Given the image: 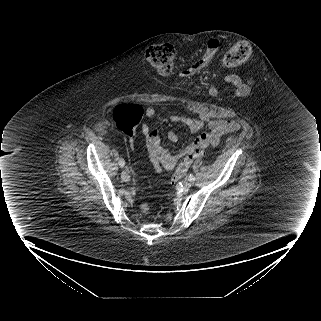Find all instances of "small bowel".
<instances>
[{
  "mask_svg": "<svg viewBox=\"0 0 321 321\" xmlns=\"http://www.w3.org/2000/svg\"><path fill=\"white\" fill-rule=\"evenodd\" d=\"M220 49V41L218 39H210L207 44L203 55L191 63L188 68L182 71V77H189L196 74L197 72L206 68L211 61L214 59L216 54ZM254 78L252 75L247 74L243 79L231 74L227 78V82L233 87V91L242 96L249 92L253 85ZM208 91L213 93L215 91V85L209 83L207 85ZM145 116L147 118H152L155 116L154 108H147L145 110ZM169 119L175 123H181L188 127L192 133L199 132L205 125V122L200 118H190L178 114L170 115ZM239 129V124L235 121L229 119H214L206 124V132L204 134L208 135V144L218 145L223 136L229 132H233ZM141 132L146 136V146L148 154L154 167L161 171L172 170L178 161L192 153L196 146L195 141L190 143L186 147L180 149L179 151L172 153L163 147L161 139L157 129H151L147 123L141 125ZM168 140L172 143H178L180 141V136L177 132L171 131L168 133Z\"/></svg>",
  "mask_w": 321,
  "mask_h": 321,
  "instance_id": "small-bowel-1",
  "label": "small bowel"
}]
</instances>
